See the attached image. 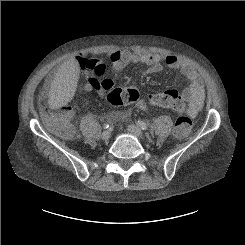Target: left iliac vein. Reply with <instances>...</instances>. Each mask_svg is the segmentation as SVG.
Masks as SVG:
<instances>
[{
    "label": "left iliac vein",
    "mask_w": 245,
    "mask_h": 245,
    "mask_svg": "<svg viewBox=\"0 0 245 245\" xmlns=\"http://www.w3.org/2000/svg\"><path fill=\"white\" fill-rule=\"evenodd\" d=\"M128 131L137 138H143V132L136 125L130 124L128 126Z\"/></svg>",
    "instance_id": "left-iliac-vein-1"
}]
</instances>
